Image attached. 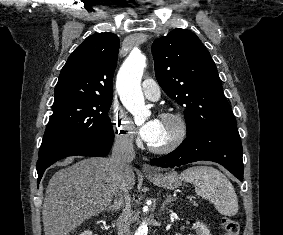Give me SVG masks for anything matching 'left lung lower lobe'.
Returning <instances> with one entry per match:
<instances>
[{"label":"left lung lower lobe","instance_id":"0a47b994","mask_svg":"<svg viewBox=\"0 0 283 235\" xmlns=\"http://www.w3.org/2000/svg\"><path fill=\"white\" fill-rule=\"evenodd\" d=\"M242 144L236 126L206 130L187 136L173 152L154 158L152 165L180 166L207 160L223 165L239 180L243 179Z\"/></svg>","mask_w":283,"mask_h":235}]
</instances>
